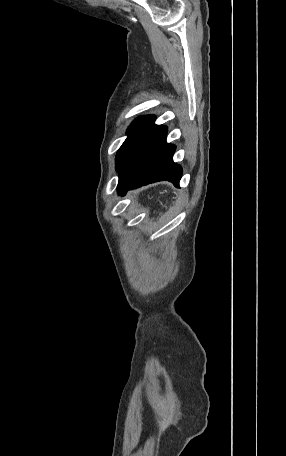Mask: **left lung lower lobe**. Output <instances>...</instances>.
<instances>
[{"instance_id": "obj_1", "label": "left lung lower lobe", "mask_w": 286, "mask_h": 456, "mask_svg": "<svg viewBox=\"0 0 286 456\" xmlns=\"http://www.w3.org/2000/svg\"><path fill=\"white\" fill-rule=\"evenodd\" d=\"M166 136V126L152 123L132 143L117 170V191L120 195L141 185L162 180L179 187L182 168L173 162L175 146L166 143Z\"/></svg>"}]
</instances>
